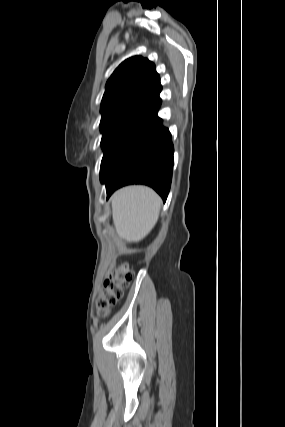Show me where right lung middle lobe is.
I'll return each mask as SVG.
<instances>
[{
  "label": "right lung middle lobe",
  "instance_id": "obj_1",
  "mask_svg": "<svg viewBox=\"0 0 285 427\" xmlns=\"http://www.w3.org/2000/svg\"><path fill=\"white\" fill-rule=\"evenodd\" d=\"M145 113H119L101 119L103 134L101 146L104 150L100 175L112 164L125 140L143 119Z\"/></svg>",
  "mask_w": 285,
  "mask_h": 427
}]
</instances>
